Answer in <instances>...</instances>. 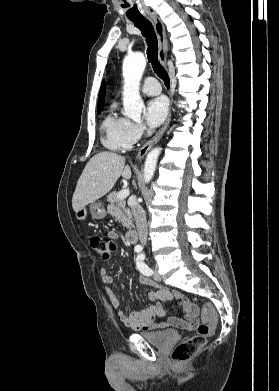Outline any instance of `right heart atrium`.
<instances>
[{
    "label": "right heart atrium",
    "mask_w": 279,
    "mask_h": 391,
    "mask_svg": "<svg viewBox=\"0 0 279 391\" xmlns=\"http://www.w3.org/2000/svg\"><path fill=\"white\" fill-rule=\"evenodd\" d=\"M126 133L128 140L133 144L143 137L145 133V127L141 123L129 121Z\"/></svg>",
    "instance_id": "1"
}]
</instances>
